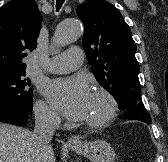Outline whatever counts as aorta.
Masks as SVG:
<instances>
[{
    "mask_svg": "<svg viewBox=\"0 0 168 162\" xmlns=\"http://www.w3.org/2000/svg\"><path fill=\"white\" fill-rule=\"evenodd\" d=\"M83 32L81 22L76 19L62 22L56 29L54 43L57 46H66L75 42Z\"/></svg>",
    "mask_w": 168,
    "mask_h": 162,
    "instance_id": "1",
    "label": "aorta"
}]
</instances>
